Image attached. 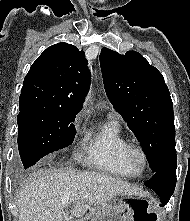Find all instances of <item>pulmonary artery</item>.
<instances>
[{
	"label": "pulmonary artery",
	"instance_id": "obj_1",
	"mask_svg": "<svg viewBox=\"0 0 190 221\" xmlns=\"http://www.w3.org/2000/svg\"><path fill=\"white\" fill-rule=\"evenodd\" d=\"M110 115H111L112 117L119 118V114H117V113H115V112H112Z\"/></svg>",
	"mask_w": 190,
	"mask_h": 221
}]
</instances>
